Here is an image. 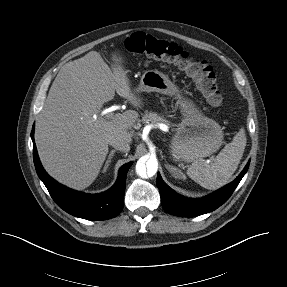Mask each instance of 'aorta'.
Returning a JSON list of instances; mask_svg holds the SVG:
<instances>
[{"mask_svg": "<svg viewBox=\"0 0 287 287\" xmlns=\"http://www.w3.org/2000/svg\"><path fill=\"white\" fill-rule=\"evenodd\" d=\"M158 169V162L155 157H150L148 159L141 158L136 164V173L140 177H151L156 174Z\"/></svg>", "mask_w": 287, "mask_h": 287, "instance_id": "obj_1", "label": "aorta"}]
</instances>
